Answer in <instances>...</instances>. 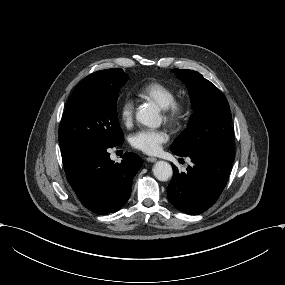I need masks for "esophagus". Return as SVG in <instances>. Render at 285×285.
Wrapping results in <instances>:
<instances>
[{
    "label": "esophagus",
    "mask_w": 285,
    "mask_h": 285,
    "mask_svg": "<svg viewBox=\"0 0 285 285\" xmlns=\"http://www.w3.org/2000/svg\"><path fill=\"white\" fill-rule=\"evenodd\" d=\"M146 160H147L148 162H151V163L157 161V159H156L155 157H147Z\"/></svg>",
    "instance_id": "1"
}]
</instances>
